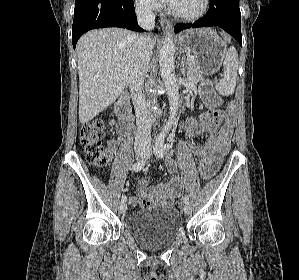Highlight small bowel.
<instances>
[{
  "instance_id": "small-bowel-1",
  "label": "small bowel",
  "mask_w": 299,
  "mask_h": 280,
  "mask_svg": "<svg viewBox=\"0 0 299 280\" xmlns=\"http://www.w3.org/2000/svg\"><path fill=\"white\" fill-rule=\"evenodd\" d=\"M233 127V121L228 120L218 131L215 123L203 119L197 120L195 118H190L181 125V129L188 136L208 135L204 143H193L190 146L195 155L208 162L209 171L207 176H211L217 171L223 157L228 153ZM118 143L116 140L108 141L107 154L109 157L113 155ZM167 167L171 177L166 183L150 186V179L148 177L140 179V187L137 190V195L129 199V203L132 207L136 208L141 206L143 208H150L157 205L171 206L174 203L175 198L180 196L183 191V184L176 174L175 162L169 160Z\"/></svg>"
}]
</instances>
